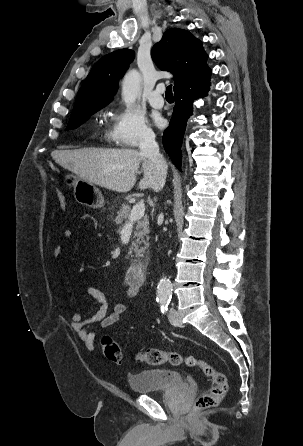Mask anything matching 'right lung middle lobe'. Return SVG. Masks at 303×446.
<instances>
[{
	"instance_id": "dd1d6c3e",
	"label": "right lung middle lobe",
	"mask_w": 303,
	"mask_h": 446,
	"mask_svg": "<svg viewBox=\"0 0 303 446\" xmlns=\"http://www.w3.org/2000/svg\"><path fill=\"white\" fill-rule=\"evenodd\" d=\"M103 107L104 106L90 108V109L72 114L66 129L69 130V129H75V128L79 127L82 123H84L88 119V117L91 114L95 113L96 111L100 110Z\"/></svg>"
}]
</instances>
